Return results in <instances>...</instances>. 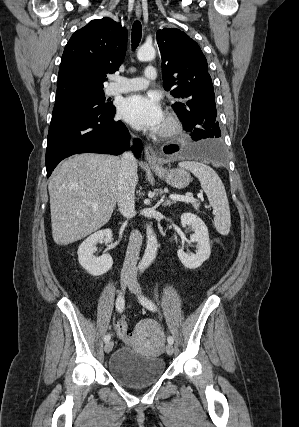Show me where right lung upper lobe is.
<instances>
[{
  "instance_id": "cb5924a9",
  "label": "right lung upper lobe",
  "mask_w": 299,
  "mask_h": 427,
  "mask_svg": "<svg viewBox=\"0 0 299 427\" xmlns=\"http://www.w3.org/2000/svg\"><path fill=\"white\" fill-rule=\"evenodd\" d=\"M127 40L126 29L109 18L77 30L62 55L55 102L103 92L106 73L118 70L124 59Z\"/></svg>"
}]
</instances>
